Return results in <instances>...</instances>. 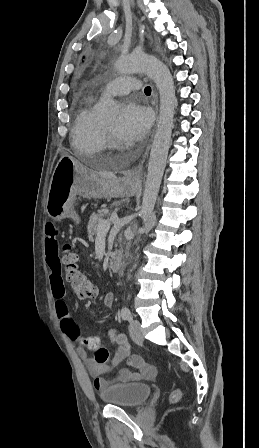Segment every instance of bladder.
I'll return each mask as SVG.
<instances>
[{
    "instance_id": "obj_1",
    "label": "bladder",
    "mask_w": 259,
    "mask_h": 448,
    "mask_svg": "<svg viewBox=\"0 0 259 448\" xmlns=\"http://www.w3.org/2000/svg\"><path fill=\"white\" fill-rule=\"evenodd\" d=\"M152 393L147 383H120L106 387L100 398L103 402L121 407H136L144 403Z\"/></svg>"
}]
</instances>
